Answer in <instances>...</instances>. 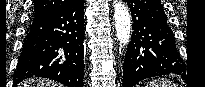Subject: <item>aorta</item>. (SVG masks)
<instances>
[{
    "instance_id": "aorta-1",
    "label": "aorta",
    "mask_w": 205,
    "mask_h": 87,
    "mask_svg": "<svg viewBox=\"0 0 205 87\" xmlns=\"http://www.w3.org/2000/svg\"><path fill=\"white\" fill-rule=\"evenodd\" d=\"M114 20L116 35L120 46L128 45L131 38V17L127 6L122 1H116Z\"/></svg>"
}]
</instances>
